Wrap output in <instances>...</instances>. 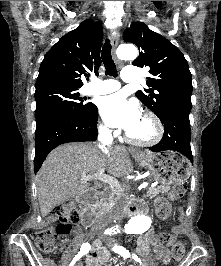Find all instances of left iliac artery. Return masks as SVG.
<instances>
[{
  "instance_id": "1",
  "label": "left iliac artery",
  "mask_w": 221,
  "mask_h": 266,
  "mask_svg": "<svg viewBox=\"0 0 221 266\" xmlns=\"http://www.w3.org/2000/svg\"><path fill=\"white\" fill-rule=\"evenodd\" d=\"M113 251H114L115 253H119V254L122 255L124 258L130 257V253H129V251H128L126 248H124L123 246H117V245H115V246L113 247ZM132 258H133L135 261H137V262H139V263L141 264V259H140L137 255L133 254V255H132Z\"/></svg>"
}]
</instances>
